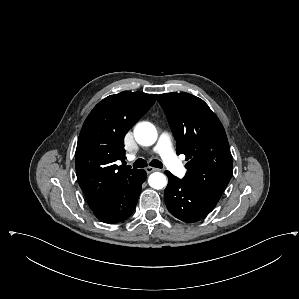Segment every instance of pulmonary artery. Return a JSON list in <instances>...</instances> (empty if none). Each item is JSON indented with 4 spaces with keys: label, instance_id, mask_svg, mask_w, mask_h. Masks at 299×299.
<instances>
[{
    "label": "pulmonary artery",
    "instance_id": "pulmonary-artery-1",
    "mask_svg": "<svg viewBox=\"0 0 299 299\" xmlns=\"http://www.w3.org/2000/svg\"><path fill=\"white\" fill-rule=\"evenodd\" d=\"M157 152L165 166L176 176H185V168L176 156V153L172 146V140L170 134L167 132L161 133L157 145L154 149Z\"/></svg>",
    "mask_w": 299,
    "mask_h": 299
}]
</instances>
